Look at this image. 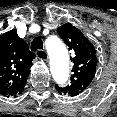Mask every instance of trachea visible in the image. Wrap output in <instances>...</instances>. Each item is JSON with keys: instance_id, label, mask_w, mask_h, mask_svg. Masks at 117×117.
Listing matches in <instances>:
<instances>
[{"instance_id": "obj_1", "label": "trachea", "mask_w": 117, "mask_h": 117, "mask_svg": "<svg viewBox=\"0 0 117 117\" xmlns=\"http://www.w3.org/2000/svg\"><path fill=\"white\" fill-rule=\"evenodd\" d=\"M41 49H43L42 39L40 37L34 38L33 41L31 42V50L35 51V50H41Z\"/></svg>"}]
</instances>
